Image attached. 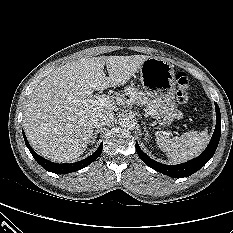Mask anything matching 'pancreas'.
I'll list each match as a JSON object with an SVG mask.
<instances>
[{"mask_svg":"<svg viewBox=\"0 0 233 233\" xmlns=\"http://www.w3.org/2000/svg\"><path fill=\"white\" fill-rule=\"evenodd\" d=\"M124 92L125 95H128L138 105L145 106L148 110H150L153 113V105L145 93L139 91L138 88H135L133 86H127L124 89Z\"/></svg>","mask_w":233,"mask_h":233,"instance_id":"cf45deb5","label":"pancreas"}]
</instances>
